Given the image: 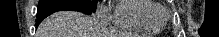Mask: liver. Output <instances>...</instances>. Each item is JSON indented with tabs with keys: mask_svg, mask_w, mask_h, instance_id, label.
<instances>
[{
	"mask_svg": "<svg viewBox=\"0 0 219 37\" xmlns=\"http://www.w3.org/2000/svg\"><path fill=\"white\" fill-rule=\"evenodd\" d=\"M38 37H101L98 23L78 11H59L38 28Z\"/></svg>",
	"mask_w": 219,
	"mask_h": 37,
	"instance_id": "liver-1",
	"label": "liver"
}]
</instances>
